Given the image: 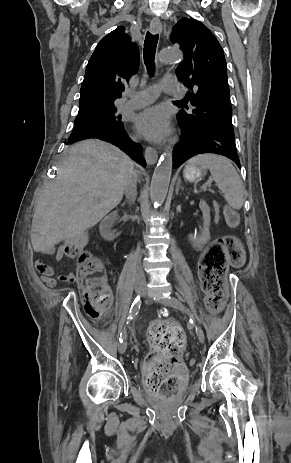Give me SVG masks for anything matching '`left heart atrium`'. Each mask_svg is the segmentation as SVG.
<instances>
[{
  "label": "left heart atrium",
  "mask_w": 291,
  "mask_h": 463,
  "mask_svg": "<svg viewBox=\"0 0 291 463\" xmlns=\"http://www.w3.org/2000/svg\"><path fill=\"white\" fill-rule=\"evenodd\" d=\"M137 131L149 140L158 141L166 136L169 130L167 111L161 106L149 107L135 117Z\"/></svg>",
  "instance_id": "39dd6f15"
}]
</instances>
